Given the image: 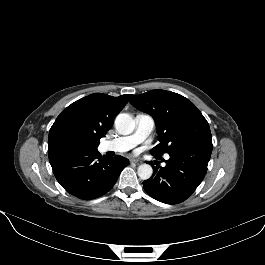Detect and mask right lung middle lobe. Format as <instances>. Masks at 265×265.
Instances as JSON below:
<instances>
[{"label": "right lung middle lobe", "mask_w": 265, "mask_h": 265, "mask_svg": "<svg viewBox=\"0 0 265 265\" xmlns=\"http://www.w3.org/2000/svg\"><path fill=\"white\" fill-rule=\"evenodd\" d=\"M71 150H95L97 146L88 145L83 140L74 138L71 140Z\"/></svg>", "instance_id": "1"}]
</instances>
